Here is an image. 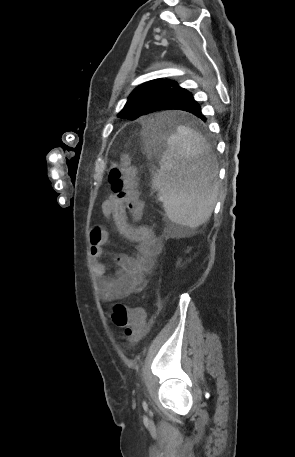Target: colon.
<instances>
[{"label": "colon", "mask_w": 295, "mask_h": 457, "mask_svg": "<svg viewBox=\"0 0 295 457\" xmlns=\"http://www.w3.org/2000/svg\"><path fill=\"white\" fill-rule=\"evenodd\" d=\"M111 192L122 206L135 219L142 216V202L138 198L135 181V169L130 165L128 156L124 155L119 164H112L109 171ZM111 318L113 323L124 329L125 338L137 340L146 327V314L140 308H128L123 304H115Z\"/></svg>", "instance_id": "5ec220e1"}]
</instances>
